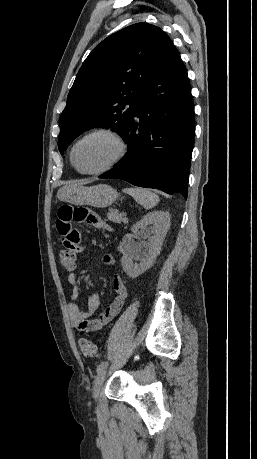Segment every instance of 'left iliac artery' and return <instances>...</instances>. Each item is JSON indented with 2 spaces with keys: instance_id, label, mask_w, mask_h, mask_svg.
Instances as JSON below:
<instances>
[{
  "instance_id": "obj_1",
  "label": "left iliac artery",
  "mask_w": 257,
  "mask_h": 459,
  "mask_svg": "<svg viewBox=\"0 0 257 459\" xmlns=\"http://www.w3.org/2000/svg\"><path fill=\"white\" fill-rule=\"evenodd\" d=\"M107 366H108V362H106V361L101 362L97 367V373H100L102 370L107 368Z\"/></svg>"
}]
</instances>
